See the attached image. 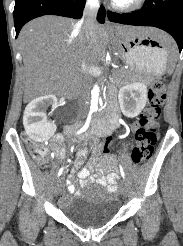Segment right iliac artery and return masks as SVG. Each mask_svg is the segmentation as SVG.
<instances>
[{
	"label": "right iliac artery",
	"instance_id": "right-iliac-artery-1",
	"mask_svg": "<svg viewBox=\"0 0 183 246\" xmlns=\"http://www.w3.org/2000/svg\"><path fill=\"white\" fill-rule=\"evenodd\" d=\"M92 112H93V111H90V112H89L85 125H84L80 130H78V131L76 132V134H80V133L84 132V131L88 128L89 123H90V119H91V114H92ZM62 171H63V168H61V170L59 171L58 176L61 175Z\"/></svg>",
	"mask_w": 183,
	"mask_h": 246
}]
</instances>
